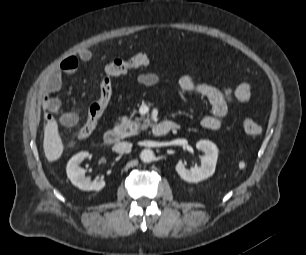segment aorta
I'll use <instances>...</instances> for the list:
<instances>
[{"label": "aorta", "instance_id": "obj_1", "mask_svg": "<svg viewBox=\"0 0 306 255\" xmlns=\"http://www.w3.org/2000/svg\"><path fill=\"white\" fill-rule=\"evenodd\" d=\"M140 159L144 163H150V162L154 161V159H155L154 152L150 149H144L140 153Z\"/></svg>", "mask_w": 306, "mask_h": 255}]
</instances>
